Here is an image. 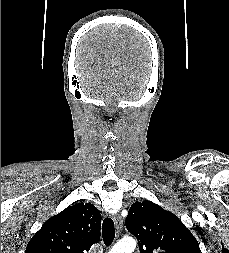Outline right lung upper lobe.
I'll use <instances>...</instances> for the list:
<instances>
[{
	"instance_id": "cb5924a9",
	"label": "right lung upper lobe",
	"mask_w": 229,
	"mask_h": 253,
	"mask_svg": "<svg viewBox=\"0 0 229 253\" xmlns=\"http://www.w3.org/2000/svg\"><path fill=\"white\" fill-rule=\"evenodd\" d=\"M101 214L90 203L68 206L48 219L25 253H87L100 237Z\"/></svg>"
}]
</instances>
